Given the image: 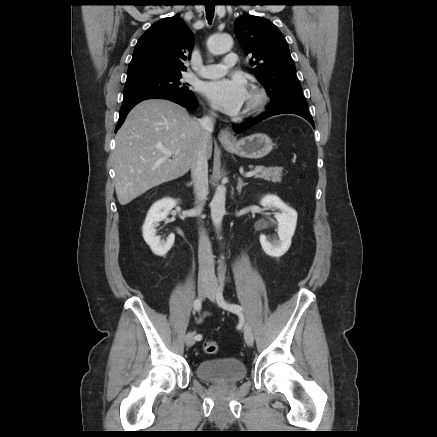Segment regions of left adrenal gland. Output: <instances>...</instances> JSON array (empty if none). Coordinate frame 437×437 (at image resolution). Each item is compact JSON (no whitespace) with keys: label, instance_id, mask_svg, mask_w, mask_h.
Here are the masks:
<instances>
[{"label":"left adrenal gland","instance_id":"left-adrenal-gland-1","mask_svg":"<svg viewBox=\"0 0 437 437\" xmlns=\"http://www.w3.org/2000/svg\"><path fill=\"white\" fill-rule=\"evenodd\" d=\"M248 183H244L240 177H238L237 191L240 194L242 187L247 185Z\"/></svg>","mask_w":437,"mask_h":437}]
</instances>
